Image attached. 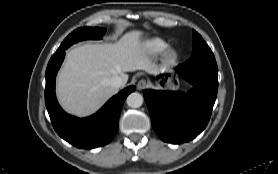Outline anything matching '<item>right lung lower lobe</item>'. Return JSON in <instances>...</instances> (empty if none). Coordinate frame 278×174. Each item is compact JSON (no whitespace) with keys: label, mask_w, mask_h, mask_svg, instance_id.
<instances>
[{"label":"right lung lower lobe","mask_w":278,"mask_h":174,"mask_svg":"<svg viewBox=\"0 0 278 174\" xmlns=\"http://www.w3.org/2000/svg\"><path fill=\"white\" fill-rule=\"evenodd\" d=\"M64 56L65 49H58L45 74V103L52 125L60 137L78 148L91 149L108 144L117 132L124 101L135 87L120 91L93 116L84 119L71 116L61 109L55 96V77Z\"/></svg>","instance_id":"obj_1"}]
</instances>
